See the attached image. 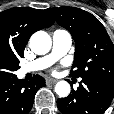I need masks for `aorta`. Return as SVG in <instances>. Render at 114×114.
<instances>
[{
    "label": "aorta",
    "instance_id": "obj_1",
    "mask_svg": "<svg viewBox=\"0 0 114 114\" xmlns=\"http://www.w3.org/2000/svg\"><path fill=\"white\" fill-rule=\"evenodd\" d=\"M31 50L38 54L43 55L50 51L52 40L48 33L44 31L35 32L30 38ZM70 84L67 81H59L55 86V92L60 97H67L70 93Z\"/></svg>",
    "mask_w": 114,
    "mask_h": 114
}]
</instances>
